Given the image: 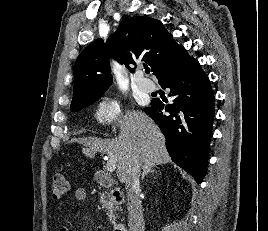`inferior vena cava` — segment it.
I'll return each instance as SVG.
<instances>
[{
    "mask_svg": "<svg viewBox=\"0 0 268 231\" xmlns=\"http://www.w3.org/2000/svg\"><path fill=\"white\" fill-rule=\"evenodd\" d=\"M143 162L133 155L125 175L129 231H144V219L140 201V169Z\"/></svg>",
    "mask_w": 268,
    "mask_h": 231,
    "instance_id": "obj_1",
    "label": "inferior vena cava"
}]
</instances>
